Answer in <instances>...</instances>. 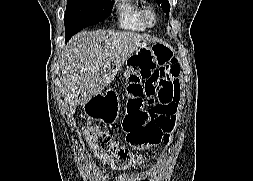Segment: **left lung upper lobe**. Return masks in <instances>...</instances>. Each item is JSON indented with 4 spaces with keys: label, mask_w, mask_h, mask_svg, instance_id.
<instances>
[{
    "label": "left lung upper lobe",
    "mask_w": 253,
    "mask_h": 181,
    "mask_svg": "<svg viewBox=\"0 0 253 181\" xmlns=\"http://www.w3.org/2000/svg\"><path fill=\"white\" fill-rule=\"evenodd\" d=\"M158 4H161V7L163 9V11L168 15L169 17V11H170V4L168 2V0H158L157 1Z\"/></svg>",
    "instance_id": "5c2ea615"
}]
</instances>
